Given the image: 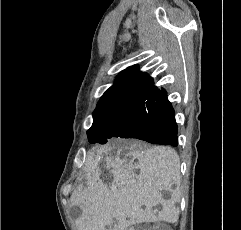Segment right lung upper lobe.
Returning a JSON list of instances; mask_svg holds the SVG:
<instances>
[{
  "instance_id": "cb5924a9",
  "label": "right lung upper lobe",
  "mask_w": 241,
  "mask_h": 230,
  "mask_svg": "<svg viewBox=\"0 0 241 230\" xmlns=\"http://www.w3.org/2000/svg\"><path fill=\"white\" fill-rule=\"evenodd\" d=\"M153 79L134 65L122 71L103 94L93 113L94 120L111 111H138L158 93Z\"/></svg>"
}]
</instances>
